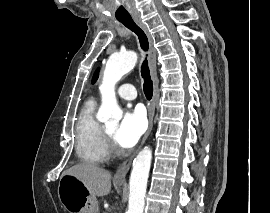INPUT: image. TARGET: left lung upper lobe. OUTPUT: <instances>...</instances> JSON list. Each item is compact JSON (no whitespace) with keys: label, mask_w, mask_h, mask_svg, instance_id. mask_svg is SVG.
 <instances>
[{"label":"left lung upper lobe","mask_w":270,"mask_h":213,"mask_svg":"<svg viewBox=\"0 0 270 213\" xmlns=\"http://www.w3.org/2000/svg\"><path fill=\"white\" fill-rule=\"evenodd\" d=\"M98 70L99 69H97V71L94 73V76H93V79H92V83H94L97 80V78H98V75H99Z\"/></svg>","instance_id":"1"}]
</instances>
